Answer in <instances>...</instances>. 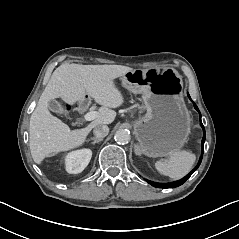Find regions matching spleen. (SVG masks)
I'll use <instances>...</instances> for the list:
<instances>
[{
    "label": "spleen",
    "mask_w": 239,
    "mask_h": 239,
    "mask_svg": "<svg viewBox=\"0 0 239 239\" xmlns=\"http://www.w3.org/2000/svg\"><path fill=\"white\" fill-rule=\"evenodd\" d=\"M195 155L188 151H179L171 154L168 159L155 163L156 170L173 180H178L188 174L195 162Z\"/></svg>",
    "instance_id": "1"
}]
</instances>
